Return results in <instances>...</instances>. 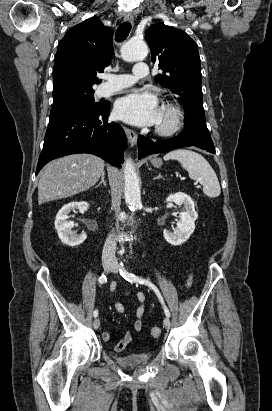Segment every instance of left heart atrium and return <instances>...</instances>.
I'll use <instances>...</instances> for the list:
<instances>
[{"instance_id":"left-heart-atrium-1","label":"left heart atrium","mask_w":272,"mask_h":411,"mask_svg":"<svg viewBox=\"0 0 272 411\" xmlns=\"http://www.w3.org/2000/svg\"><path fill=\"white\" fill-rule=\"evenodd\" d=\"M115 115L133 125H152L160 118L157 98L148 92L133 91L117 100Z\"/></svg>"}]
</instances>
